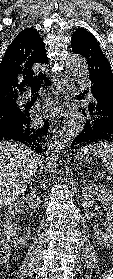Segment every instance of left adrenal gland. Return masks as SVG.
Wrapping results in <instances>:
<instances>
[{
  "label": "left adrenal gland",
  "mask_w": 113,
  "mask_h": 279,
  "mask_svg": "<svg viewBox=\"0 0 113 279\" xmlns=\"http://www.w3.org/2000/svg\"><path fill=\"white\" fill-rule=\"evenodd\" d=\"M80 174L82 175V174H83V172H82V171H80Z\"/></svg>",
  "instance_id": "obj_1"
}]
</instances>
